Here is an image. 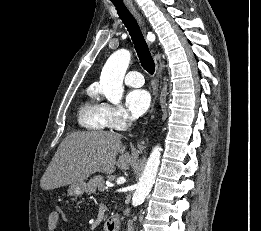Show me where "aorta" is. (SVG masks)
<instances>
[{
	"label": "aorta",
	"instance_id": "1",
	"mask_svg": "<svg viewBox=\"0 0 261 231\" xmlns=\"http://www.w3.org/2000/svg\"><path fill=\"white\" fill-rule=\"evenodd\" d=\"M131 54L126 49L114 52L105 63L101 76L100 85L108 101L113 104L120 103L123 95V79L130 63ZM161 147L155 146L147 160L144 171L132 197V205L142 204L151 191L155 182L161 158Z\"/></svg>",
	"mask_w": 261,
	"mask_h": 231
}]
</instances>
